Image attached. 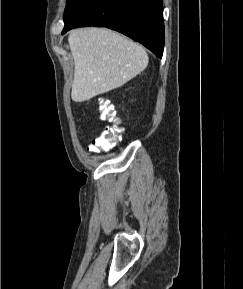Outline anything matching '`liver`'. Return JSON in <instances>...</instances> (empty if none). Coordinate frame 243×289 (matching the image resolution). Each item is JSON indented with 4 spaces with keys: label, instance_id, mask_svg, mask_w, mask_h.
<instances>
[{
    "label": "liver",
    "instance_id": "6515ba94",
    "mask_svg": "<svg viewBox=\"0 0 243 289\" xmlns=\"http://www.w3.org/2000/svg\"><path fill=\"white\" fill-rule=\"evenodd\" d=\"M68 42L75 64L71 92L75 102L121 87L149 62L141 45L109 29H74Z\"/></svg>",
    "mask_w": 243,
    "mask_h": 289
}]
</instances>
